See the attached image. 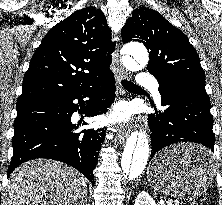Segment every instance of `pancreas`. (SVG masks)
I'll return each instance as SVG.
<instances>
[{
    "label": "pancreas",
    "mask_w": 222,
    "mask_h": 205,
    "mask_svg": "<svg viewBox=\"0 0 222 205\" xmlns=\"http://www.w3.org/2000/svg\"><path fill=\"white\" fill-rule=\"evenodd\" d=\"M167 205H177L174 202H167Z\"/></svg>",
    "instance_id": "pancreas-1"
}]
</instances>
